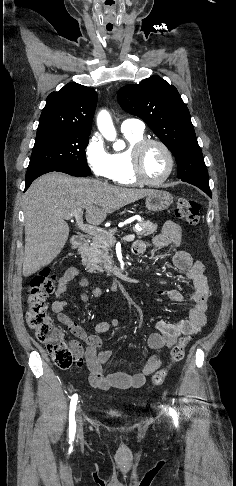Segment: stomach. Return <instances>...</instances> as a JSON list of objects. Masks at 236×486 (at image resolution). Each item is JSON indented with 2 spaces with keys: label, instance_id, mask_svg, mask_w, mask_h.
Segmentation results:
<instances>
[{
  "label": "stomach",
  "instance_id": "obj_1",
  "mask_svg": "<svg viewBox=\"0 0 236 486\" xmlns=\"http://www.w3.org/2000/svg\"><path fill=\"white\" fill-rule=\"evenodd\" d=\"M173 203V196L164 190H154L146 197V208L150 212L166 210Z\"/></svg>",
  "mask_w": 236,
  "mask_h": 486
}]
</instances>
